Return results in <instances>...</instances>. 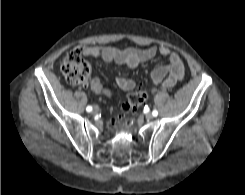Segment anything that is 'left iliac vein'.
Segmentation results:
<instances>
[{
    "label": "left iliac vein",
    "mask_w": 245,
    "mask_h": 195,
    "mask_svg": "<svg viewBox=\"0 0 245 195\" xmlns=\"http://www.w3.org/2000/svg\"><path fill=\"white\" fill-rule=\"evenodd\" d=\"M146 117H147V119H152V118H153V115H152L151 113H148V114L146 115Z\"/></svg>",
    "instance_id": "left-iliac-vein-1"
}]
</instances>
